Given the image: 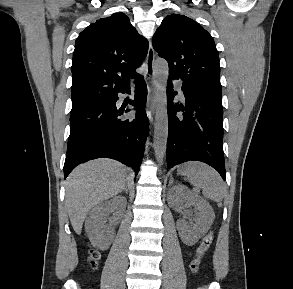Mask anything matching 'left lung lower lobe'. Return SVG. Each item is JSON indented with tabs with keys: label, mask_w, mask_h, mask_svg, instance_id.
<instances>
[{
	"label": "left lung lower lobe",
	"mask_w": 293,
	"mask_h": 289,
	"mask_svg": "<svg viewBox=\"0 0 293 289\" xmlns=\"http://www.w3.org/2000/svg\"><path fill=\"white\" fill-rule=\"evenodd\" d=\"M171 77L167 86L169 133L167 166L190 160L207 163L225 180L222 94L183 82L185 105L173 103Z\"/></svg>",
	"instance_id": "0a47b994"
}]
</instances>
